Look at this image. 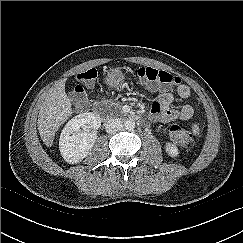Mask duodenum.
<instances>
[{
    "instance_id": "410a0bca",
    "label": "duodenum",
    "mask_w": 243,
    "mask_h": 243,
    "mask_svg": "<svg viewBox=\"0 0 243 243\" xmlns=\"http://www.w3.org/2000/svg\"><path fill=\"white\" fill-rule=\"evenodd\" d=\"M94 113L97 114V115H99V114H100L99 109H98V108H95V109H94ZM129 118H131V119H133V120H135V121H138V120H139V118H138L137 115H132V116L129 115Z\"/></svg>"
}]
</instances>
